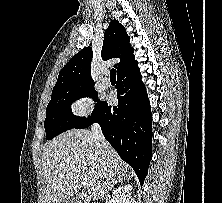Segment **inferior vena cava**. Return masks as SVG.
Instances as JSON below:
<instances>
[{"instance_id": "inferior-vena-cava-1", "label": "inferior vena cava", "mask_w": 222, "mask_h": 203, "mask_svg": "<svg viewBox=\"0 0 222 203\" xmlns=\"http://www.w3.org/2000/svg\"><path fill=\"white\" fill-rule=\"evenodd\" d=\"M91 131L97 147L101 150L103 156L106 157L109 151V144L102 134L100 125L97 123L93 124Z\"/></svg>"}]
</instances>
